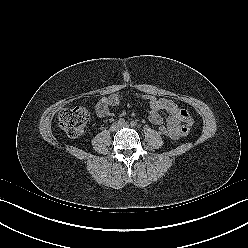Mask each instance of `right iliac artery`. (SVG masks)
<instances>
[{
	"mask_svg": "<svg viewBox=\"0 0 248 248\" xmlns=\"http://www.w3.org/2000/svg\"><path fill=\"white\" fill-rule=\"evenodd\" d=\"M123 123H125V120H124L123 118H120V119L118 120V124H123Z\"/></svg>",
	"mask_w": 248,
	"mask_h": 248,
	"instance_id": "82829eb1",
	"label": "right iliac artery"
}]
</instances>
